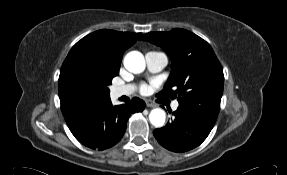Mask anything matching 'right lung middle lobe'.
I'll use <instances>...</instances> for the list:
<instances>
[{
	"instance_id": "right-lung-middle-lobe-1",
	"label": "right lung middle lobe",
	"mask_w": 287,
	"mask_h": 175,
	"mask_svg": "<svg viewBox=\"0 0 287 175\" xmlns=\"http://www.w3.org/2000/svg\"><path fill=\"white\" fill-rule=\"evenodd\" d=\"M112 78L99 72L86 54L77 56L59 84L63 115L82 113L109 98Z\"/></svg>"
}]
</instances>
